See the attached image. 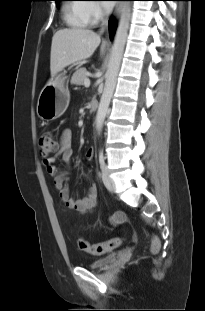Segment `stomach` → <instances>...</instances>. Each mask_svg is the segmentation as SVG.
<instances>
[{"instance_id":"1","label":"stomach","mask_w":205,"mask_h":311,"mask_svg":"<svg viewBox=\"0 0 205 311\" xmlns=\"http://www.w3.org/2000/svg\"><path fill=\"white\" fill-rule=\"evenodd\" d=\"M65 80V76L59 74L49 80L41 90L37 103V114L42 120H55L67 109L70 95Z\"/></svg>"}]
</instances>
